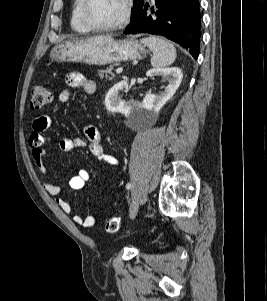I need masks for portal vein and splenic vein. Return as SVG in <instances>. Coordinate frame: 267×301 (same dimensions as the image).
Listing matches in <instances>:
<instances>
[{"instance_id": "obj_1", "label": "portal vein and splenic vein", "mask_w": 267, "mask_h": 301, "mask_svg": "<svg viewBox=\"0 0 267 301\" xmlns=\"http://www.w3.org/2000/svg\"><path fill=\"white\" fill-rule=\"evenodd\" d=\"M122 72H123V68L120 67V68H117V69H116V73H117V74H121Z\"/></svg>"}]
</instances>
